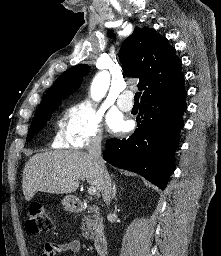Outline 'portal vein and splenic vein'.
Wrapping results in <instances>:
<instances>
[{
  "mask_svg": "<svg viewBox=\"0 0 221 256\" xmlns=\"http://www.w3.org/2000/svg\"><path fill=\"white\" fill-rule=\"evenodd\" d=\"M96 192H97V190H96L95 187L90 186V187L88 188V193H89V195H95Z\"/></svg>",
  "mask_w": 221,
  "mask_h": 256,
  "instance_id": "portal-vein-and-splenic-vein-1",
  "label": "portal vein and splenic vein"
}]
</instances>
